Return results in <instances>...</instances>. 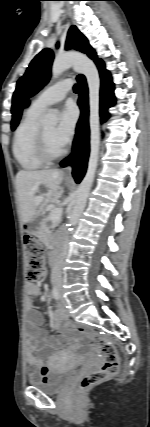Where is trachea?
<instances>
[{"label":"trachea","mask_w":150,"mask_h":427,"mask_svg":"<svg viewBox=\"0 0 150 427\" xmlns=\"http://www.w3.org/2000/svg\"><path fill=\"white\" fill-rule=\"evenodd\" d=\"M73 90L76 93L79 92V90H80L79 85L75 84L74 87H73Z\"/></svg>","instance_id":"trachea-1"}]
</instances>
